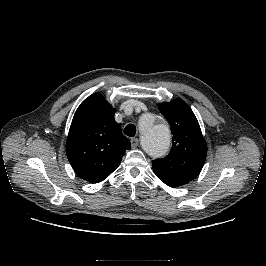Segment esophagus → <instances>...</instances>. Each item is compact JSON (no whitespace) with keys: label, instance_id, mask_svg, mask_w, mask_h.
<instances>
[{"label":"esophagus","instance_id":"esophagus-1","mask_svg":"<svg viewBox=\"0 0 266 266\" xmlns=\"http://www.w3.org/2000/svg\"><path fill=\"white\" fill-rule=\"evenodd\" d=\"M132 148H136L139 144V140L137 138H131L130 140Z\"/></svg>","mask_w":266,"mask_h":266}]
</instances>
